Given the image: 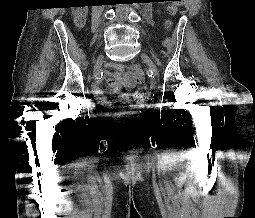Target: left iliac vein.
Here are the masks:
<instances>
[{"label": "left iliac vein", "instance_id": "obj_1", "mask_svg": "<svg viewBox=\"0 0 255 218\" xmlns=\"http://www.w3.org/2000/svg\"><path fill=\"white\" fill-rule=\"evenodd\" d=\"M141 58L148 65L149 70L152 73V76L156 77L158 75V69L153 60L146 53H141Z\"/></svg>", "mask_w": 255, "mask_h": 218}]
</instances>
